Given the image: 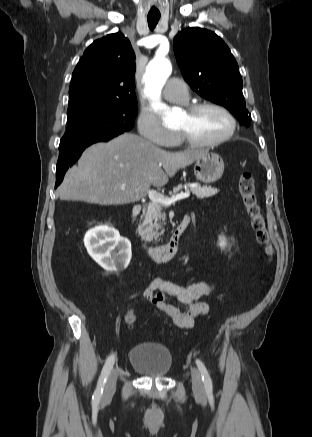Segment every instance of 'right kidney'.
I'll list each match as a JSON object with an SVG mask.
<instances>
[{
    "label": "right kidney",
    "instance_id": "1",
    "mask_svg": "<svg viewBox=\"0 0 312 437\" xmlns=\"http://www.w3.org/2000/svg\"><path fill=\"white\" fill-rule=\"evenodd\" d=\"M88 254L106 271L125 269L132 257L131 243L109 226H98L84 237Z\"/></svg>",
    "mask_w": 312,
    "mask_h": 437
}]
</instances>
